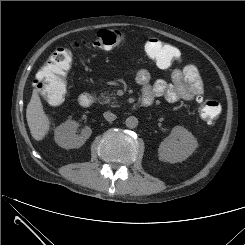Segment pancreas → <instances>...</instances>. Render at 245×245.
Segmentation results:
<instances>
[{
  "label": "pancreas",
  "instance_id": "1",
  "mask_svg": "<svg viewBox=\"0 0 245 245\" xmlns=\"http://www.w3.org/2000/svg\"><path fill=\"white\" fill-rule=\"evenodd\" d=\"M114 92L112 93H101V104H111L112 107H117L118 105L116 103V98L113 96Z\"/></svg>",
  "mask_w": 245,
  "mask_h": 245
}]
</instances>
